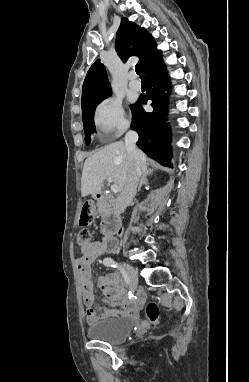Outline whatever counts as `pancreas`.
<instances>
[{"instance_id":"cf45deb5","label":"pancreas","mask_w":249,"mask_h":382,"mask_svg":"<svg viewBox=\"0 0 249 382\" xmlns=\"http://www.w3.org/2000/svg\"><path fill=\"white\" fill-rule=\"evenodd\" d=\"M98 211L101 215H104L103 203L98 202Z\"/></svg>"}]
</instances>
